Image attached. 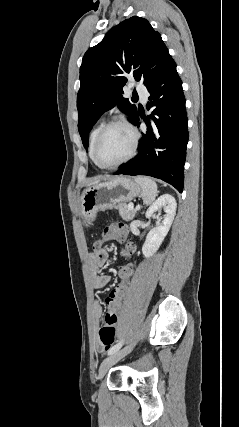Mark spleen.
Returning <instances> with one entry per match:
<instances>
[{
  "mask_svg": "<svg viewBox=\"0 0 239 427\" xmlns=\"http://www.w3.org/2000/svg\"><path fill=\"white\" fill-rule=\"evenodd\" d=\"M135 181L142 188V198L145 205H151L157 196V184L154 180L146 176H137Z\"/></svg>",
  "mask_w": 239,
  "mask_h": 427,
  "instance_id": "3e777b00",
  "label": "spleen"
}]
</instances>
